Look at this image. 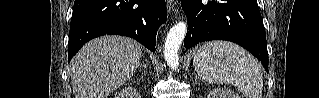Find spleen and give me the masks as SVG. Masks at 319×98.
Masks as SVG:
<instances>
[{
    "mask_svg": "<svg viewBox=\"0 0 319 98\" xmlns=\"http://www.w3.org/2000/svg\"><path fill=\"white\" fill-rule=\"evenodd\" d=\"M193 65L210 84H231L246 98H261L263 74L259 62L231 42L211 41L199 47Z\"/></svg>",
    "mask_w": 319,
    "mask_h": 98,
    "instance_id": "3e777b00",
    "label": "spleen"
}]
</instances>
